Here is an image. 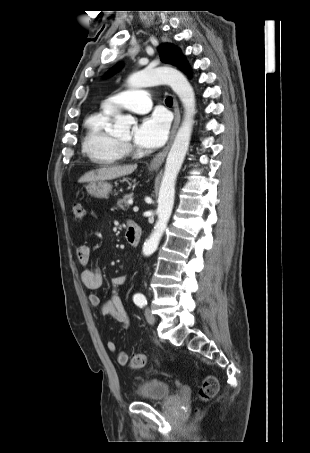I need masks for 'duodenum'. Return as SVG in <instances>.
<instances>
[{"label": "duodenum", "mask_w": 310, "mask_h": 453, "mask_svg": "<svg viewBox=\"0 0 310 453\" xmlns=\"http://www.w3.org/2000/svg\"><path fill=\"white\" fill-rule=\"evenodd\" d=\"M141 236L142 232L139 225H137L136 223H131L128 225L126 238L131 246L136 247L140 242Z\"/></svg>", "instance_id": "1"}]
</instances>
